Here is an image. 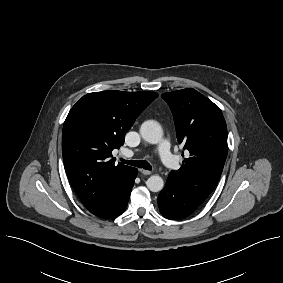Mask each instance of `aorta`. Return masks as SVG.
Segmentation results:
<instances>
[{
  "label": "aorta",
  "instance_id": "762f6f07",
  "mask_svg": "<svg viewBox=\"0 0 283 283\" xmlns=\"http://www.w3.org/2000/svg\"><path fill=\"white\" fill-rule=\"evenodd\" d=\"M142 138L150 144H157L163 137L161 125L154 120L145 121L140 128ZM146 185L152 192H159L164 187L163 179L158 175H152L148 178Z\"/></svg>",
  "mask_w": 283,
  "mask_h": 283
}]
</instances>
